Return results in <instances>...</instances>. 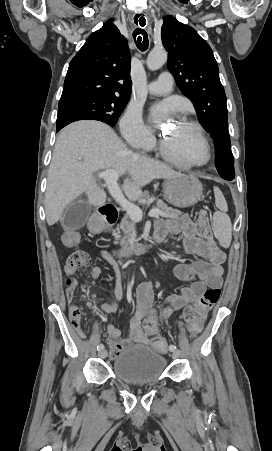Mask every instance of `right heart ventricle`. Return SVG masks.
Returning a JSON list of instances; mask_svg holds the SVG:
<instances>
[{"label":"right heart ventricle","mask_w":272,"mask_h":451,"mask_svg":"<svg viewBox=\"0 0 272 451\" xmlns=\"http://www.w3.org/2000/svg\"><path fill=\"white\" fill-rule=\"evenodd\" d=\"M169 102H170L171 104H177V100H176V99H170Z\"/></svg>","instance_id":"e07e8e85"}]
</instances>
